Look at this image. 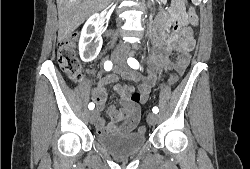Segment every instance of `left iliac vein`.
Wrapping results in <instances>:
<instances>
[{
	"mask_svg": "<svg viewBox=\"0 0 250 169\" xmlns=\"http://www.w3.org/2000/svg\"><path fill=\"white\" fill-rule=\"evenodd\" d=\"M121 68L125 71V73L129 72V68L124 61L119 62ZM147 121L149 124L154 125L158 121V116L155 113H149L147 116Z\"/></svg>",
	"mask_w": 250,
	"mask_h": 169,
	"instance_id": "1",
	"label": "left iliac vein"
}]
</instances>
